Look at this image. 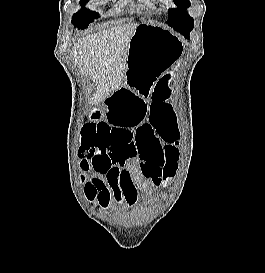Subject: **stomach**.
Returning <instances> with one entry per match:
<instances>
[{
	"label": "stomach",
	"mask_w": 265,
	"mask_h": 273,
	"mask_svg": "<svg viewBox=\"0 0 265 273\" xmlns=\"http://www.w3.org/2000/svg\"><path fill=\"white\" fill-rule=\"evenodd\" d=\"M182 44L170 31L143 23L135 29L128 47L126 85L132 95H149L155 81L176 61Z\"/></svg>",
	"instance_id": "0dacf381"
}]
</instances>
